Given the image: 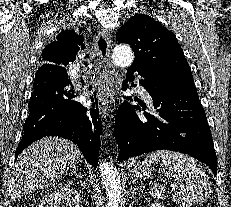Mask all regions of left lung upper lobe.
Listing matches in <instances>:
<instances>
[{
  "instance_id": "obj_1",
  "label": "left lung upper lobe",
  "mask_w": 231,
  "mask_h": 207,
  "mask_svg": "<svg viewBox=\"0 0 231 207\" xmlns=\"http://www.w3.org/2000/svg\"><path fill=\"white\" fill-rule=\"evenodd\" d=\"M116 41L135 52L132 68L157 71L169 79V89L194 85L192 73L175 35L153 18L135 14L117 33Z\"/></svg>"
}]
</instances>
